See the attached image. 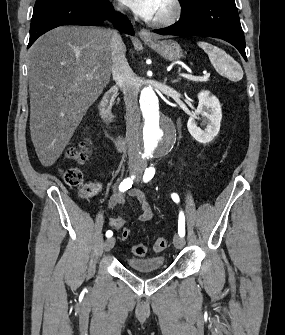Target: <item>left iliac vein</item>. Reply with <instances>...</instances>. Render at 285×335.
<instances>
[{
  "label": "left iliac vein",
  "mask_w": 285,
  "mask_h": 335,
  "mask_svg": "<svg viewBox=\"0 0 285 335\" xmlns=\"http://www.w3.org/2000/svg\"><path fill=\"white\" fill-rule=\"evenodd\" d=\"M135 181L138 182L139 177H137ZM173 242L177 249H182L185 246V239L180 235H175L173 238Z\"/></svg>",
  "instance_id": "left-iliac-vein-1"
}]
</instances>
